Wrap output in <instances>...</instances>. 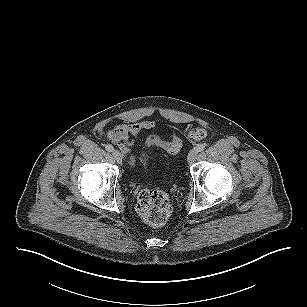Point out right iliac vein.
<instances>
[{
	"label": "right iliac vein",
	"instance_id": "right-iliac-vein-1",
	"mask_svg": "<svg viewBox=\"0 0 307 307\" xmlns=\"http://www.w3.org/2000/svg\"><path fill=\"white\" fill-rule=\"evenodd\" d=\"M113 157L116 159V161L121 164L122 163V159H123V155L121 154L120 151L118 150H113L112 152Z\"/></svg>",
	"mask_w": 307,
	"mask_h": 307
}]
</instances>
